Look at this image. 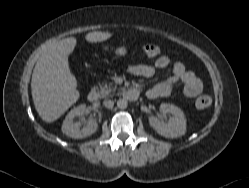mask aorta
Returning a JSON list of instances; mask_svg holds the SVG:
<instances>
[{"label":"aorta","mask_w":249,"mask_h":188,"mask_svg":"<svg viewBox=\"0 0 249 188\" xmlns=\"http://www.w3.org/2000/svg\"><path fill=\"white\" fill-rule=\"evenodd\" d=\"M117 106H118V108H120V109H125V108H127V106H128V102H127L126 99H119V100L117 101Z\"/></svg>","instance_id":"obj_1"}]
</instances>
